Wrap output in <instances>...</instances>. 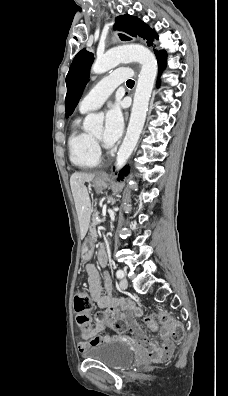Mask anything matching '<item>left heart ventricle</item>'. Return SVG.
<instances>
[{
    "label": "left heart ventricle",
    "mask_w": 228,
    "mask_h": 396,
    "mask_svg": "<svg viewBox=\"0 0 228 396\" xmlns=\"http://www.w3.org/2000/svg\"><path fill=\"white\" fill-rule=\"evenodd\" d=\"M93 135H94L95 137L101 139V138H102V135H103V129H102V128L98 129L96 132H94Z\"/></svg>",
    "instance_id": "left-heart-ventricle-1"
}]
</instances>
